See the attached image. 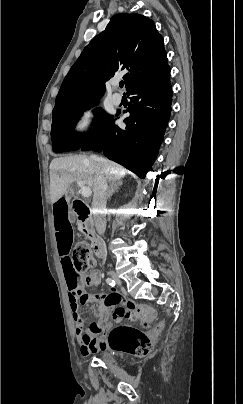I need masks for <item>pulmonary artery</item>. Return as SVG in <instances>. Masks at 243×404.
Instances as JSON below:
<instances>
[{
  "instance_id": "1",
  "label": "pulmonary artery",
  "mask_w": 243,
  "mask_h": 404,
  "mask_svg": "<svg viewBox=\"0 0 243 404\" xmlns=\"http://www.w3.org/2000/svg\"><path fill=\"white\" fill-rule=\"evenodd\" d=\"M119 81H120L119 77H114L111 80V85L114 88V93L112 95V101L115 105H119L123 100L122 94L118 91Z\"/></svg>"
}]
</instances>
